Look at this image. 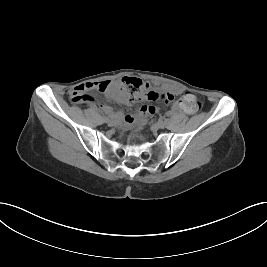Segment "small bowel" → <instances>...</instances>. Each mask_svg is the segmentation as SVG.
Returning <instances> with one entry per match:
<instances>
[{
  "label": "small bowel",
  "instance_id": "c3829d8e",
  "mask_svg": "<svg viewBox=\"0 0 267 267\" xmlns=\"http://www.w3.org/2000/svg\"><path fill=\"white\" fill-rule=\"evenodd\" d=\"M100 83H102V82H88V83H85V84L90 85L92 89H97V86ZM81 85H79V86H81ZM79 86L71 89L69 91V95L71 96L73 90L78 88ZM162 89L166 90L171 95H178V94L181 93V90L178 87L172 86V85H166V86L162 87ZM112 96L117 101H119L120 103H123V104H127L128 103V96L123 91L116 90L115 92L112 93ZM89 102H91V100H89ZM99 108L101 110L105 111V112H110L111 111V107L106 105V104H100ZM181 108H182V106L180 104H175L173 106L172 110L174 112H178V111L181 110ZM155 112H156V108L154 106L142 105L137 115L126 114L124 116V120L127 123H132L137 117H143V116H146V115H151V114H154Z\"/></svg>",
  "mask_w": 267,
  "mask_h": 267
}]
</instances>
